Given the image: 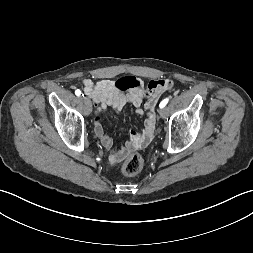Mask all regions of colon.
Segmentation results:
<instances>
[{
  "label": "colon",
  "instance_id": "5ec220e1",
  "mask_svg": "<svg viewBox=\"0 0 253 253\" xmlns=\"http://www.w3.org/2000/svg\"><path fill=\"white\" fill-rule=\"evenodd\" d=\"M143 165V158L139 154H132L123 163L122 172L127 176H132L139 173Z\"/></svg>",
  "mask_w": 253,
  "mask_h": 253
}]
</instances>
